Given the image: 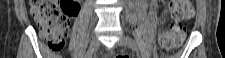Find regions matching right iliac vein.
I'll return each mask as SVG.
<instances>
[{"label": "right iliac vein", "instance_id": "1", "mask_svg": "<svg viewBox=\"0 0 225 58\" xmlns=\"http://www.w3.org/2000/svg\"><path fill=\"white\" fill-rule=\"evenodd\" d=\"M99 48V41L96 37L92 38L89 49L87 52V57L90 58Z\"/></svg>", "mask_w": 225, "mask_h": 58}]
</instances>
